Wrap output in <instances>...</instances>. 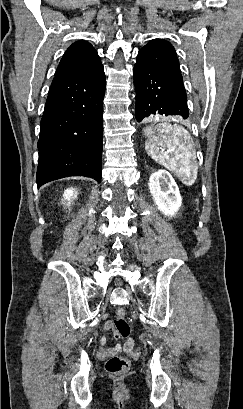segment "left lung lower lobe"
Listing matches in <instances>:
<instances>
[{"label": "left lung lower lobe", "mask_w": 243, "mask_h": 409, "mask_svg": "<svg viewBox=\"0 0 243 409\" xmlns=\"http://www.w3.org/2000/svg\"><path fill=\"white\" fill-rule=\"evenodd\" d=\"M136 90L135 116L138 122L153 115L189 116L187 95L183 79L161 70L140 65L134 66Z\"/></svg>", "instance_id": "0a47b994"}]
</instances>
